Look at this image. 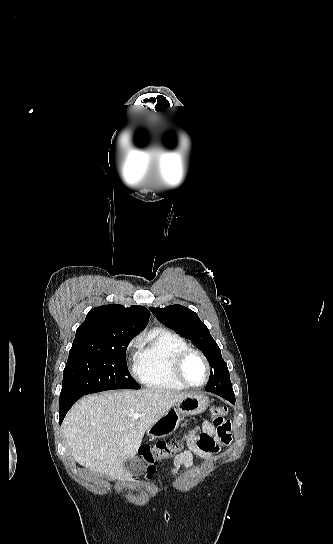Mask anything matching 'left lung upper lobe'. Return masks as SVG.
Segmentation results:
<instances>
[{"label": "left lung upper lobe", "mask_w": 333, "mask_h": 544, "mask_svg": "<svg viewBox=\"0 0 333 544\" xmlns=\"http://www.w3.org/2000/svg\"><path fill=\"white\" fill-rule=\"evenodd\" d=\"M149 309L161 323L192 341L205 355L211 366L206 391L233 392L227 364L222 358L220 348L197 313L179 304Z\"/></svg>", "instance_id": "1"}]
</instances>
